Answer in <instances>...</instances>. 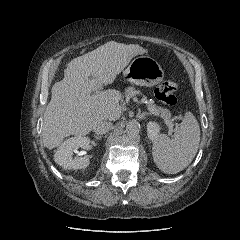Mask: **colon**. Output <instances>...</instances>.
Wrapping results in <instances>:
<instances>
[{"label": "colon", "instance_id": "5ec220e1", "mask_svg": "<svg viewBox=\"0 0 240 240\" xmlns=\"http://www.w3.org/2000/svg\"><path fill=\"white\" fill-rule=\"evenodd\" d=\"M177 84L173 81H166L155 90V96L161 102L167 105H175L178 101L175 94Z\"/></svg>", "mask_w": 240, "mask_h": 240}]
</instances>
